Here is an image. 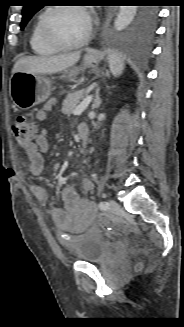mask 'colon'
<instances>
[{"mask_svg":"<svg viewBox=\"0 0 184 327\" xmlns=\"http://www.w3.org/2000/svg\"><path fill=\"white\" fill-rule=\"evenodd\" d=\"M11 128L17 144L23 148H28L32 145L38 136L37 124L24 115L16 116L12 122ZM98 222L103 226L112 224L105 215H99ZM112 225L116 232L121 231V227L118 224Z\"/></svg>","mask_w":184,"mask_h":327,"instance_id":"1","label":"colon"}]
</instances>
